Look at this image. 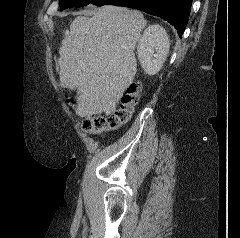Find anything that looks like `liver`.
Masks as SVG:
<instances>
[{"label": "liver", "mask_w": 240, "mask_h": 238, "mask_svg": "<svg viewBox=\"0 0 240 238\" xmlns=\"http://www.w3.org/2000/svg\"><path fill=\"white\" fill-rule=\"evenodd\" d=\"M146 26L143 14L107 5L92 16H77L65 31L59 50L60 86L78 89L81 117L111 115L132 84L134 48Z\"/></svg>", "instance_id": "1"}]
</instances>
